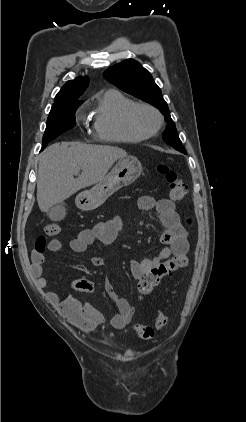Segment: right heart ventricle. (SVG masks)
Listing matches in <instances>:
<instances>
[{
  "instance_id": "obj_1",
  "label": "right heart ventricle",
  "mask_w": 246,
  "mask_h": 422,
  "mask_svg": "<svg viewBox=\"0 0 246 422\" xmlns=\"http://www.w3.org/2000/svg\"><path fill=\"white\" fill-rule=\"evenodd\" d=\"M136 103L116 89H108L97 98L93 112L95 135L107 142L136 143L145 138L128 124L127 113Z\"/></svg>"
}]
</instances>
